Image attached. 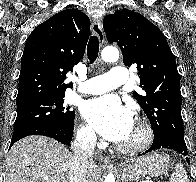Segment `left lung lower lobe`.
<instances>
[{
    "instance_id": "1",
    "label": "left lung lower lobe",
    "mask_w": 196,
    "mask_h": 182,
    "mask_svg": "<svg viewBox=\"0 0 196 182\" xmlns=\"http://www.w3.org/2000/svg\"><path fill=\"white\" fill-rule=\"evenodd\" d=\"M163 148L174 150L184 156L188 155V150L184 138L176 137L173 135H165L158 139H154L152 146L145 153ZM186 160L190 164L189 158H186Z\"/></svg>"
}]
</instances>
